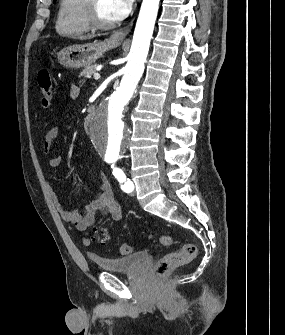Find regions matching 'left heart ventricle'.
<instances>
[{"label": "left heart ventricle", "instance_id": "left-heart-ventricle-1", "mask_svg": "<svg viewBox=\"0 0 285 335\" xmlns=\"http://www.w3.org/2000/svg\"><path fill=\"white\" fill-rule=\"evenodd\" d=\"M99 5V14L102 20L105 22L112 23V16L109 10L108 1H98Z\"/></svg>", "mask_w": 285, "mask_h": 335}]
</instances>
